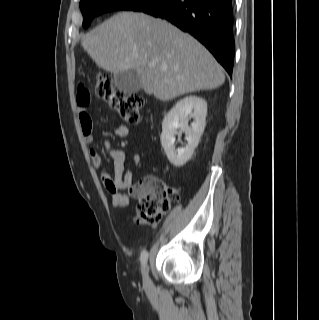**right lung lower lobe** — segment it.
<instances>
[{
	"label": "right lung lower lobe",
	"instance_id": "obj_1",
	"mask_svg": "<svg viewBox=\"0 0 319 320\" xmlns=\"http://www.w3.org/2000/svg\"><path fill=\"white\" fill-rule=\"evenodd\" d=\"M136 11L166 19L190 33L232 75L235 49L232 0H154Z\"/></svg>",
	"mask_w": 319,
	"mask_h": 320
}]
</instances>
